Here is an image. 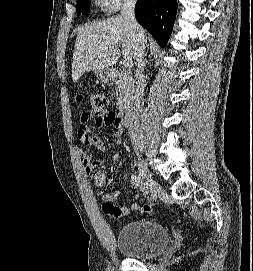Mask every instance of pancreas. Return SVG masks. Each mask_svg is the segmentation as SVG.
Returning <instances> with one entry per match:
<instances>
[{
  "label": "pancreas",
  "mask_w": 253,
  "mask_h": 271,
  "mask_svg": "<svg viewBox=\"0 0 253 271\" xmlns=\"http://www.w3.org/2000/svg\"><path fill=\"white\" fill-rule=\"evenodd\" d=\"M119 88V96L117 98V107L119 110L125 109L132 98L134 90V79L130 73H124L121 75L117 82Z\"/></svg>",
  "instance_id": "1"
}]
</instances>
